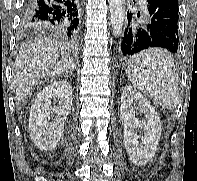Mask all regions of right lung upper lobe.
Listing matches in <instances>:
<instances>
[{"label":"right lung upper lobe","instance_id":"cb5924a9","mask_svg":"<svg viewBox=\"0 0 197 181\" xmlns=\"http://www.w3.org/2000/svg\"><path fill=\"white\" fill-rule=\"evenodd\" d=\"M27 29L34 30V31H37V30H46L45 27H41V26H34V27L27 28Z\"/></svg>","mask_w":197,"mask_h":181}]
</instances>
